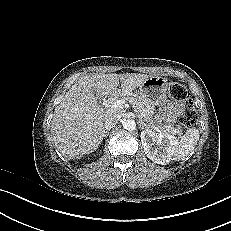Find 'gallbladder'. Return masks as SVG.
I'll list each match as a JSON object with an SVG mask.
<instances>
[{"label": "gallbladder", "mask_w": 231, "mask_h": 231, "mask_svg": "<svg viewBox=\"0 0 231 231\" xmlns=\"http://www.w3.org/2000/svg\"><path fill=\"white\" fill-rule=\"evenodd\" d=\"M94 96H95V98H96L97 100H99L101 95L98 94L97 92H94Z\"/></svg>", "instance_id": "bac80fb5"}]
</instances>
